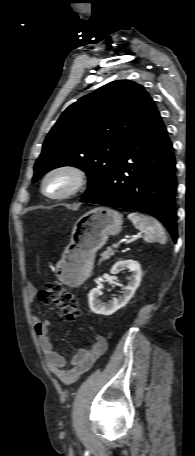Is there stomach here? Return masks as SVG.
<instances>
[{"instance_id": "obj_1", "label": "stomach", "mask_w": 195, "mask_h": 456, "mask_svg": "<svg viewBox=\"0 0 195 456\" xmlns=\"http://www.w3.org/2000/svg\"><path fill=\"white\" fill-rule=\"evenodd\" d=\"M122 215L107 207H98L83 214L74 224L71 241L57 265L59 279L67 285L78 286L90 275L95 253L109 235L122 229Z\"/></svg>"}]
</instances>
